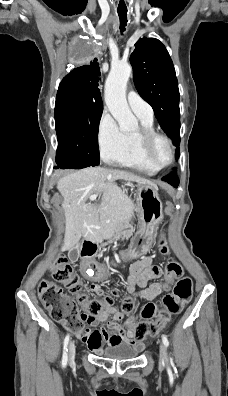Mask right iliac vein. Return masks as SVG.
<instances>
[{
	"label": "right iliac vein",
	"instance_id": "obj_1",
	"mask_svg": "<svg viewBox=\"0 0 228 396\" xmlns=\"http://www.w3.org/2000/svg\"><path fill=\"white\" fill-rule=\"evenodd\" d=\"M75 343L74 341H71L69 344V350H68V355H69V362L72 363L75 359Z\"/></svg>",
	"mask_w": 228,
	"mask_h": 396
}]
</instances>
